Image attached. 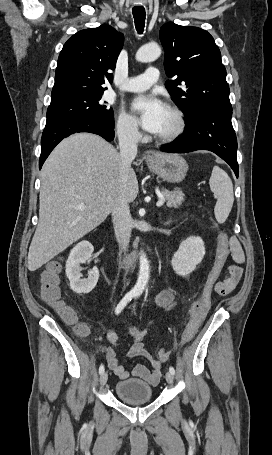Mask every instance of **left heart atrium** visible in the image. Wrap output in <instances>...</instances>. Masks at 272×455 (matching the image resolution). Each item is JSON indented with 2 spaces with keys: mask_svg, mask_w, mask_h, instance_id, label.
<instances>
[{
  "mask_svg": "<svg viewBox=\"0 0 272 455\" xmlns=\"http://www.w3.org/2000/svg\"><path fill=\"white\" fill-rule=\"evenodd\" d=\"M131 110L137 115L143 129L158 134L167 112V107L162 100L153 94L140 95L132 101Z\"/></svg>",
  "mask_w": 272,
  "mask_h": 455,
  "instance_id": "39dd6f15",
  "label": "left heart atrium"
}]
</instances>
